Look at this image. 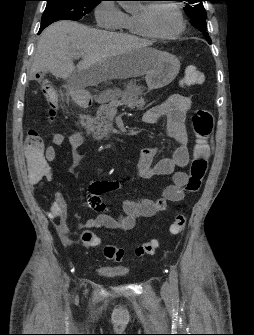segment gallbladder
<instances>
[{
	"label": "gallbladder",
	"instance_id": "gallbladder-1",
	"mask_svg": "<svg viewBox=\"0 0 254 335\" xmlns=\"http://www.w3.org/2000/svg\"><path fill=\"white\" fill-rule=\"evenodd\" d=\"M40 76H41V78H42V77L44 76V73H41Z\"/></svg>",
	"mask_w": 254,
	"mask_h": 335
}]
</instances>
